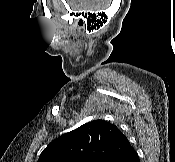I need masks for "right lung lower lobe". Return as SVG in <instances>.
<instances>
[{
  "instance_id": "obj_1",
  "label": "right lung lower lobe",
  "mask_w": 175,
  "mask_h": 162,
  "mask_svg": "<svg viewBox=\"0 0 175 162\" xmlns=\"http://www.w3.org/2000/svg\"><path fill=\"white\" fill-rule=\"evenodd\" d=\"M112 162H139L137 152L132 148L127 153L116 157Z\"/></svg>"
}]
</instances>
